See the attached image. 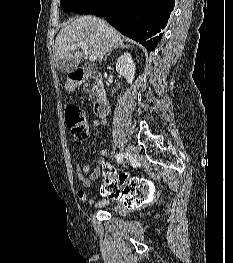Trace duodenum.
<instances>
[{
	"label": "duodenum",
	"mask_w": 233,
	"mask_h": 263,
	"mask_svg": "<svg viewBox=\"0 0 233 263\" xmlns=\"http://www.w3.org/2000/svg\"><path fill=\"white\" fill-rule=\"evenodd\" d=\"M86 79H93L97 83H101L100 74L92 69L79 68L71 75V80L74 83H81ZM91 99L95 100L93 105L94 113L100 118L108 116L110 113V103L104 90L93 88Z\"/></svg>",
	"instance_id": "1"
}]
</instances>
